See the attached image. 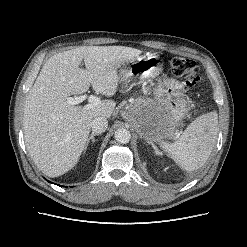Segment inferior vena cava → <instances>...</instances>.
I'll list each match as a JSON object with an SVG mask.
<instances>
[{
	"instance_id": "1",
	"label": "inferior vena cava",
	"mask_w": 247,
	"mask_h": 247,
	"mask_svg": "<svg viewBox=\"0 0 247 247\" xmlns=\"http://www.w3.org/2000/svg\"><path fill=\"white\" fill-rule=\"evenodd\" d=\"M108 127V121L105 117L99 116L92 120L91 128L92 131L98 134L105 132Z\"/></svg>"
}]
</instances>
